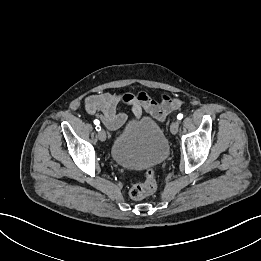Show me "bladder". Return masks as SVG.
Listing matches in <instances>:
<instances>
[{
  "label": "bladder",
  "mask_w": 261,
  "mask_h": 261,
  "mask_svg": "<svg viewBox=\"0 0 261 261\" xmlns=\"http://www.w3.org/2000/svg\"><path fill=\"white\" fill-rule=\"evenodd\" d=\"M168 154V139L160 125L150 118L129 123L110 149L113 162L126 169L157 166Z\"/></svg>",
  "instance_id": "1"
}]
</instances>
